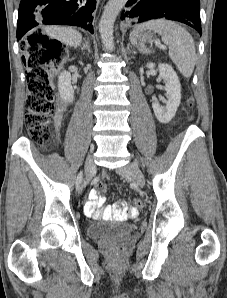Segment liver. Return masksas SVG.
<instances>
[{
	"mask_svg": "<svg viewBox=\"0 0 227 298\" xmlns=\"http://www.w3.org/2000/svg\"><path fill=\"white\" fill-rule=\"evenodd\" d=\"M45 32L53 39L72 46L78 47L82 42V35L75 29L69 27L49 26L45 27Z\"/></svg>",
	"mask_w": 227,
	"mask_h": 298,
	"instance_id": "6515ba94",
	"label": "liver"
}]
</instances>
